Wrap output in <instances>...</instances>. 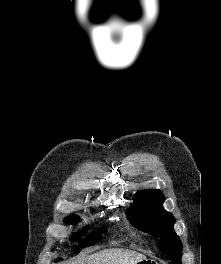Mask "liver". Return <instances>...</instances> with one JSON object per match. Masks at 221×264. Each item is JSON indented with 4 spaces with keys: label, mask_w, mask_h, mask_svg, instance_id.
Returning a JSON list of instances; mask_svg holds the SVG:
<instances>
[{
    "label": "liver",
    "mask_w": 221,
    "mask_h": 264,
    "mask_svg": "<svg viewBox=\"0 0 221 264\" xmlns=\"http://www.w3.org/2000/svg\"><path fill=\"white\" fill-rule=\"evenodd\" d=\"M146 257L140 253L123 249H106L68 264H136Z\"/></svg>",
    "instance_id": "6515ba94"
}]
</instances>
